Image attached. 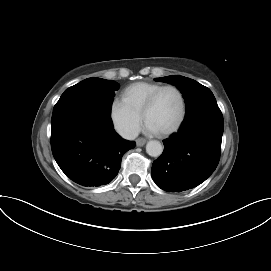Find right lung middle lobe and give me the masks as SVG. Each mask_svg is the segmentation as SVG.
Masks as SVG:
<instances>
[{"label": "right lung middle lobe", "instance_id": "right-lung-middle-lobe-1", "mask_svg": "<svg viewBox=\"0 0 271 271\" xmlns=\"http://www.w3.org/2000/svg\"><path fill=\"white\" fill-rule=\"evenodd\" d=\"M118 84L113 80L88 78L69 87L53 109L52 118L63 113L101 106L110 110Z\"/></svg>", "mask_w": 271, "mask_h": 271}]
</instances>
